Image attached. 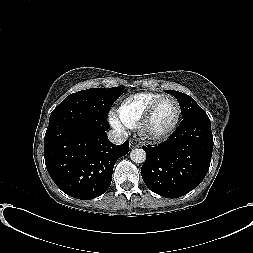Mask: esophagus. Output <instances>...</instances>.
Returning a JSON list of instances; mask_svg holds the SVG:
<instances>
[{
  "label": "esophagus",
  "mask_w": 253,
  "mask_h": 253,
  "mask_svg": "<svg viewBox=\"0 0 253 253\" xmlns=\"http://www.w3.org/2000/svg\"><path fill=\"white\" fill-rule=\"evenodd\" d=\"M129 145L131 149L139 147V144L133 140H130Z\"/></svg>",
  "instance_id": "obj_1"
}]
</instances>
